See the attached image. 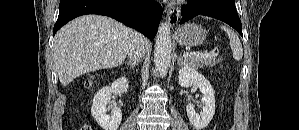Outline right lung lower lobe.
<instances>
[{
  "label": "right lung lower lobe",
  "mask_w": 299,
  "mask_h": 130,
  "mask_svg": "<svg viewBox=\"0 0 299 130\" xmlns=\"http://www.w3.org/2000/svg\"><path fill=\"white\" fill-rule=\"evenodd\" d=\"M162 7L154 0H60L53 35L70 20L85 14L114 18L152 40L162 17Z\"/></svg>",
  "instance_id": "obj_1"
}]
</instances>
